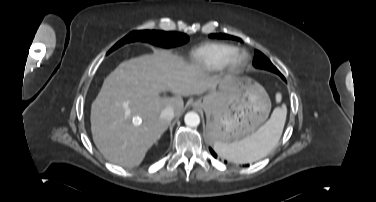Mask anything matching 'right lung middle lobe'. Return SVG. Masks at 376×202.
Masks as SVG:
<instances>
[{"label":"right lung middle lobe","mask_w":376,"mask_h":202,"mask_svg":"<svg viewBox=\"0 0 376 202\" xmlns=\"http://www.w3.org/2000/svg\"><path fill=\"white\" fill-rule=\"evenodd\" d=\"M189 40L188 36L179 32H165L155 30L133 31L116 43L107 54L128 42L143 41L163 47L180 46Z\"/></svg>","instance_id":"obj_1"}]
</instances>
